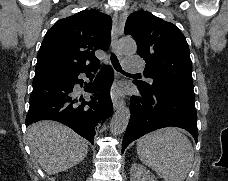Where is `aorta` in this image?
Instances as JSON below:
<instances>
[{
	"mask_svg": "<svg viewBox=\"0 0 228 181\" xmlns=\"http://www.w3.org/2000/svg\"><path fill=\"white\" fill-rule=\"evenodd\" d=\"M118 50L124 54H133L136 52L137 46L132 38H122L119 41ZM129 118V108L123 107L117 110L110 122L111 133L114 135L122 134L127 128Z\"/></svg>",
	"mask_w": 228,
	"mask_h": 181,
	"instance_id": "762f6f07",
	"label": "aorta"
}]
</instances>
